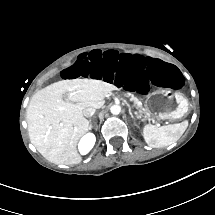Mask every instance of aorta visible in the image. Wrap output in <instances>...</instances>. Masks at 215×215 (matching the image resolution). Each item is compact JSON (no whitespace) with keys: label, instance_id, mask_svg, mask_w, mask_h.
<instances>
[{"label":"aorta","instance_id":"762f6f07","mask_svg":"<svg viewBox=\"0 0 215 215\" xmlns=\"http://www.w3.org/2000/svg\"><path fill=\"white\" fill-rule=\"evenodd\" d=\"M110 111L113 115H118L121 112V107L119 105H113L111 106Z\"/></svg>","mask_w":215,"mask_h":215}]
</instances>
